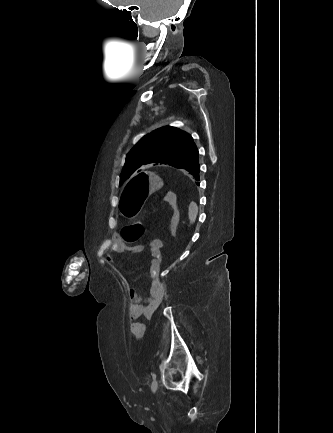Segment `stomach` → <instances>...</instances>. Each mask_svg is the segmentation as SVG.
<instances>
[{
	"mask_svg": "<svg viewBox=\"0 0 333 433\" xmlns=\"http://www.w3.org/2000/svg\"><path fill=\"white\" fill-rule=\"evenodd\" d=\"M159 170L140 173L132 177L124 186L119 201V211L126 218H134L141 211L148 196L161 188Z\"/></svg>",
	"mask_w": 333,
	"mask_h": 433,
	"instance_id": "1",
	"label": "stomach"
}]
</instances>
